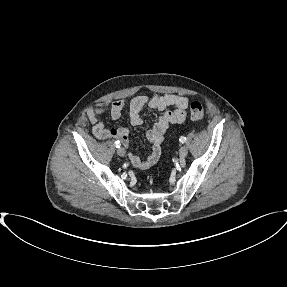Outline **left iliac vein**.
I'll list each match as a JSON object with an SVG mask.
<instances>
[{"label":"left iliac vein","instance_id":"4c4485c4","mask_svg":"<svg viewBox=\"0 0 287 287\" xmlns=\"http://www.w3.org/2000/svg\"><path fill=\"white\" fill-rule=\"evenodd\" d=\"M188 153V149L186 146H182L180 149H179V155H180V158H184Z\"/></svg>","mask_w":287,"mask_h":287}]
</instances>
